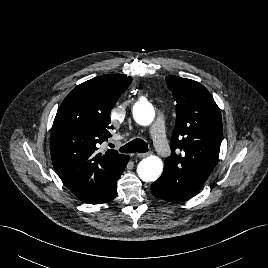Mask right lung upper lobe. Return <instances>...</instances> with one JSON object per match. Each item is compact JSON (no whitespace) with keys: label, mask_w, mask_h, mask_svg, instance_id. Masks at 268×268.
Returning <instances> with one entry per match:
<instances>
[{"label":"right lung upper lobe","mask_w":268,"mask_h":268,"mask_svg":"<svg viewBox=\"0 0 268 268\" xmlns=\"http://www.w3.org/2000/svg\"><path fill=\"white\" fill-rule=\"evenodd\" d=\"M132 78L102 75L74 88L59 107L50 137L52 163L65 186L81 201L94 204L128 158L115 150L98 152L111 137L110 111Z\"/></svg>","instance_id":"obj_1"}]
</instances>
